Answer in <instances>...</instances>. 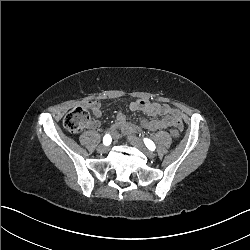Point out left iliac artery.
Wrapping results in <instances>:
<instances>
[{
  "mask_svg": "<svg viewBox=\"0 0 250 250\" xmlns=\"http://www.w3.org/2000/svg\"><path fill=\"white\" fill-rule=\"evenodd\" d=\"M144 143L146 145V147L151 150V151H154L155 150V144L153 141H151L150 139L148 138H144Z\"/></svg>",
  "mask_w": 250,
  "mask_h": 250,
  "instance_id": "1",
  "label": "left iliac artery"
}]
</instances>
